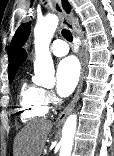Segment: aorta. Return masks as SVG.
<instances>
[{
	"instance_id": "aorta-1",
	"label": "aorta",
	"mask_w": 114,
	"mask_h": 156,
	"mask_svg": "<svg viewBox=\"0 0 114 156\" xmlns=\"http://www.w3.org/2000/svg\"><path fill=\"white\" fill-rule=\"evenodd\" d=\"M58 18L55 15H48L38 22L34 29L35 44V83L49 85L55 82L54 65L49 51L52 36L57 28ZM77 127V116L71 114L65 121L62 129L61 149L59 156H70L73 139Z\"/></svg>"
}]
</instances>
